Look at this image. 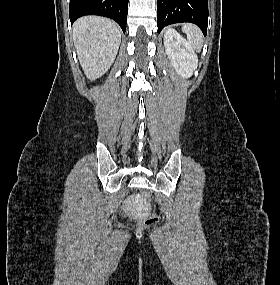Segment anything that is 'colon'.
<instances>
[{
    "label": "colon",
    "instance_id": "obj_1",
    "mask_svg": "<svg viewBox=\"0 0 280 285\" xmlns=\"http://www.w3.org/2000/svg\"><path fill=\"white\" fill-rule=\"evenodd\" d=\"M140 198L145 205H147V206L151 205L152 200H151V195L149 192L142 191L140 193ZM159 221H160V218L157 215H155L154 213H149L144 220V225L145 226H153V225L158 224Z\"/></svg>",
    "mask_w": 280,
    "mask_h": 285
}]
</instances>
